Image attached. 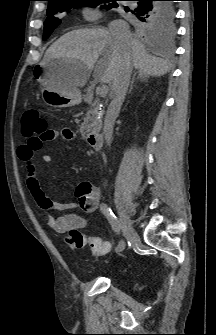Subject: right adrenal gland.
Here are the masks:
<instances>
[{
	"label": "right adrenal gland",
	"instance_id": "obj_1",
	"mask_svg": "<svg viewBox=\"0 0 216 335\" xmlns=\"http://www.w3.org/2000/svg\"><path fill=\"white\" fill-rule=\"evenodd\" d=\"M147 79H148V76H146V75H138L137 77L134 75L133 78H132V80H131L130 88H129V92L128 93L132 92L135 80H139V81L143 82V81H146Z\"/></svg>",
	"mask_w": 216,
	"mask_h": 335
}]
</instances>
